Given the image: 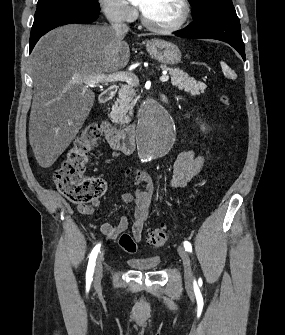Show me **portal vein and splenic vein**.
<instances>
[{
    "mask_svg": "<svg viewBox=\"0 0 285 335\" xmlns=\"http://www.w3.org/2000/svg\"><path fill=\"white\" fill-rule=\"evenodd\" d=\"M163 76L159 78L160 82H167L169 76L167 72H162ZM78 82H83V84H89V86H94V84H106V82H127V84H137L138 78L136 76H130V74H123V72H117V74H101V76H84V78H78Z\"/></svg>",
    "mask_w": 285,
    "mask_h": 335,
    "instance_id": "portal-vein-and-splenic-vein-1",
    "label": "portal vein and splenic vein"
}]
</instances>
